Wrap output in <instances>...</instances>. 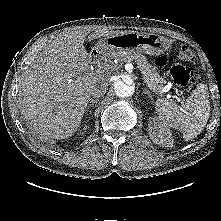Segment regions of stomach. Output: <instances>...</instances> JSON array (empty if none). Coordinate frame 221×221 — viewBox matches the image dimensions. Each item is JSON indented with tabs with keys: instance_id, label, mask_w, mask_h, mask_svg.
Here are the masks:
<instances>
[{
	"instance_id": "0dacf381",
	"label": "stomach",
	"mask_w": 221,
	"mask_h": 221,
	"mask_svg": "<svg viewBox=\"0 0 221 221\" xmlns=\"http://www.w3.org/2000/svg\"><path fill=\"white\" fill-rule=\"evenodd\" d=\"M169 48L170 42L163 36L134 31L103 38L96 46V50L104 55L110 52L159 55Z\"/></svg>"
}]
</instances>
